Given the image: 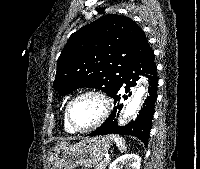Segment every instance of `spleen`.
<instances>
[{
  "label": "spleen",
  "mask_w": 200,
  "mask_h": 169,
  "mask_svg": "<svg viewBox=\"0 0 200 169\" xmlns=\"http://www.w3.org/2000/svg\"><path fill=\"white\" fill-rule=\"evenodd\" d=\"M109 137H110L111 140H113L116 143L117 147L119 148V150L121 152L126 150L125 140L121 136L110 135Z\"/></svg>",
  "instance_id": "3e777b00"
}]
</instances>
